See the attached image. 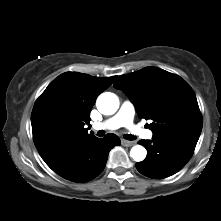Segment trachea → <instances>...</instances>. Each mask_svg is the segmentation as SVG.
<instances>
[{"label":"trachea","instance_id":"3493384b","mask_svg":"<svg viewBox=\"0 0 221 221\" xmlns=\"http://www.w3.org/2000/svg\"><path fill=\"white\" fill-rule=\"evenodd\" d=\"M97 135L102 137V136L105 135V131L100 130V131H98ZM124 138L127 139V140H135L136 139V137L134 135H131V134L124 135Z\"/></svg>","mask_w":221,"mask_h":221}]
</instances>
